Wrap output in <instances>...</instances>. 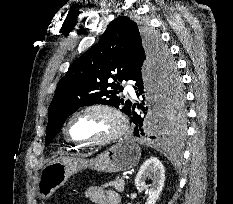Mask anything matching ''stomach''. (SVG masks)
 <instances>
[{"instance_id":"obj_1","label":"stomach","mask_w":233,"mask_h":204,"mask_svg":"<svg viewBox=\"0 0 233 204\" xmlns=\"http://www.w3.org/2000/svg\"><path fill=\"white\" fill-rule=\"evenodd\" d=\"M141 149L131 140H122L90 160L60 157L46 163L38 180L37 193L49 198L59 187L80 170L89 167L104 173L123 172L134 168L140 160Z\"/></svg>"}]
</instances>
